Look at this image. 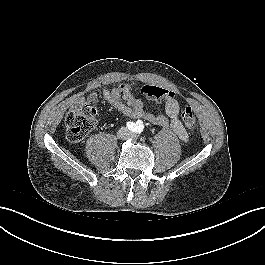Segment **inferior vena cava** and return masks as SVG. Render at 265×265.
<instances>
[{
	"label": "inferior vena cava",
	"mask_w": 265,
	"mask_h": 265,
	"mask_svg": "<svg viewBox=\"0 0 265 265\" xmlns=\"http://www.w3.org/2000/svg\"><path fill=\"white\" fill-rule=\"evenodd\" d=\"M129 134H130V132H129L128 130H125V135L123 134V135L121 136V138L126 137V136H128Z\"/></svg>",
	"instance_id": "1"
}]
</instances>
